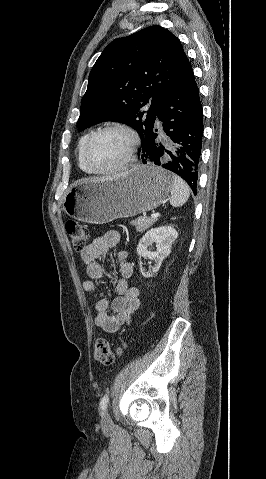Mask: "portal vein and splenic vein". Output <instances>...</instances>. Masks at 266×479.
I'll list each match as a JSON object with an SVG mask.
<instances>
[{
	"label": "portal vein and splenic vein",
	"instance_id": "18ae733b",
	"mask_svg": "<svg viewBox=\"0 0 266 479\" xmlns=\"http://www.w3.org/2000/svg\"><path fill=\"white\" fill-rule=\"evenodd\" d=\"M160 216L159 213H153L151 214V218H158Z\"/></svg>",
	"mask_w": 266,
	"mask_h": 479
}]
</instances>
